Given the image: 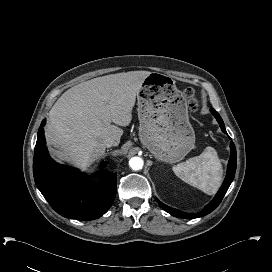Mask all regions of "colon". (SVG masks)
I'll use <instances>...</instances> for the list:
<instances>
[{
	"instance_id": "colon-1",
	"label": "colon",
	"mask_w": 272,
	"mask_h": 272,
	"mask_svg": "<svg viewBox=\"0 0 272 272\" xmlns=\"http://www.w3.org/2000/svg\"><path fill=\"white\" fill-rule=\"evenodd\" d=\"M182 96L184 100L187 102L190 109L193 111H196L198 108V101L196 99L193 89L191 88L184 89Z\"/></svg>"
}]
</instances>
